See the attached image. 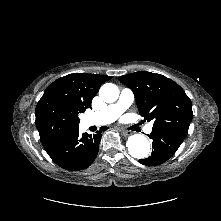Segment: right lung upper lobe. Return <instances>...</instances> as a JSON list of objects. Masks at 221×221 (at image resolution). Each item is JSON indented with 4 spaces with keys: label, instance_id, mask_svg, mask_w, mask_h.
I'll use <instances>...</instances> for the list:
<instances>
[{
    "label": "right lung upper lobe",
    "instance_id": "obj_1",
    "mask_svg": "<svg viewBox=\"0 0 221 221\" xmlns=\"http://www.w3.org/2000/svg\"><path fill=\"white\" fill-rule=\"evenodd\" d=\"M111 78V76L87 73L66 75L48 86L37 107L49 98H58L67 105L84 112L87 108H91V101L100 86Z\"/></svg>",
    "mask_w": 221,
    "mask_h": 221
}]
</instances>
